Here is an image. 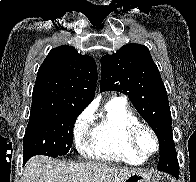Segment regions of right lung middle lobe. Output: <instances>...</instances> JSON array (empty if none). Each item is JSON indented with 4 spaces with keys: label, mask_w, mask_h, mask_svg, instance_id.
I'll list each match as a JSON object with an SVG mask.
<instances>
[{
    "label": "right lung middle lobe",
    "mask_w": 196,
    "mask_h": 182,
    "mask_svg": "<svg viewBox=\"0 0 196 182\" xmlns=\"http://www.w3.org/2000/svg\"><path fill=\"white\" fill-rule=\"evenodd\" d=\"M81 111L74 108H45L31 110L24 135L23 160L44 154L58 157L72 147L75 120Z\"/></svg>",
    "instance_id": "1"
}]
</instances>
